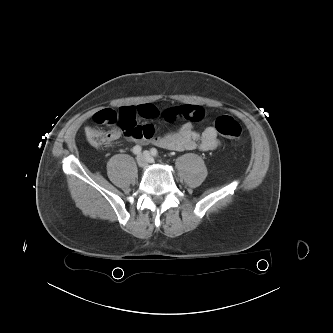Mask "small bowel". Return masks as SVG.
Masks as SVG:
<instances>
[{
	"instance_id": "obj_1",
	"label": "small bowel",
	"mask_w": 333,
	"mask_h": 333,
	"mask_svg": "<svg viewBox=\"0 0 333 333\" xmlns=\"http://www.w3.org/2000/svg\"><path fill=\"white\" fill-rule=\"evenodd\" d=\"M138 117L157 120L161 119L167 123L182 120L183 124L177 129L158 133L153 124L137 125L132 132L112 131L110 142H116L123 136L125 139L138 144H154L168 150H194L201 151L215 150L220 146L218 132L214 127H207L199 132L195 129L194 123L204 118L205 112L197 105H183L180 107L158 110L151 104L133 107Z\"/></svg>"
}]
</instances>
